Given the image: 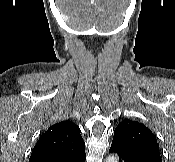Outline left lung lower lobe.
<instances>
[{
	"instance_id": "0a47b994",
	"label": "left lung lower lobe",
	"mask_w": 175,
	"mask_h": 162,
	"mask_svg": "<svg viewBox=\"0 0 175 162\" xmlns=\"http://www.w3.org/2000/svg\"><path fill=\"white\" fill-rule=\"evenodd\" d=\"M109 152L117 153L120 162H162L159 150L149 147L127 149L112 142Z\"/></svg>"
}]
</instances>
